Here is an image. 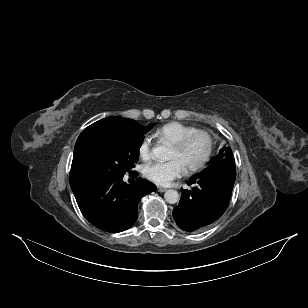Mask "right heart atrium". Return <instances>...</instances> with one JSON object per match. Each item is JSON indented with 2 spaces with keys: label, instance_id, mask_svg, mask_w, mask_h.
<instances>
[{
  "label": "right heart atrium",
  "instance_id": "obj_1",
  "mask_svg": "<svg viewBox=\"0 0 308 308\" xmlns=\"http://www.w3.org/2000/svg\"><path fill=\"white\" fill-rule=\"evenodd\" d=\"M138 155L141 160L147 162L152 158L153 155V142L150 136L142 138L138 145Z\"/></svg>",
  "mask_w": 308,
  "mask_h": 308
}]
</instances>
